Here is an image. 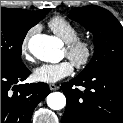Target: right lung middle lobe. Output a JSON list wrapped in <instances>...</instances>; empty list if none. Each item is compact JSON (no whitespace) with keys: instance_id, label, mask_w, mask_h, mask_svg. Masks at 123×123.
Wrapping results in <instances>:
<instances>
[{"instance_id":"1","label":"right lung middle lobe","mask_w":123,"mask_h":123,"mask_svg":"<svg viewBox=\"0 0 123 123\" xmlns=\"http://www.w3.org/2000/svg\"><path fill=\"white\" fill-rule=\"evenodd\" d=\"M50 8L40 11L1 7V69H21V49L27 31L42 20Z\"/></svg>"}]
</instances>
